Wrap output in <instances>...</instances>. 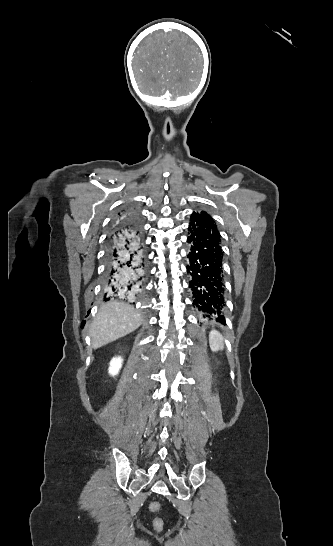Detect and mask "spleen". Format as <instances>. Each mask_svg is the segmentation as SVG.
Here are the masks:
<instances>
[{"mask_svg": "<svg viewBox=\"0 0 333 546\" xmlns=\"http://www.w3.org/2000/svg\"><path fill=\"white\" fill-rule=\"evenodd\" d=\"M209 344L213 352L224 349L223 336L216 330L209 333Z\"/></svg>", "mask_w": 333, "mask_h": 546, "instance_id": "obj_1", "label": "spleen"}]
</instances>
